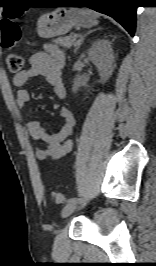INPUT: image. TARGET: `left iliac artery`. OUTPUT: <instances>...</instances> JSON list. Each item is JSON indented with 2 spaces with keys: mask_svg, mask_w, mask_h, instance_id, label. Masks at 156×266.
Listing matches in <instances>:
<instances>
[{
  "mask_svg": "<svg viewBox=\"0 0 156 266\" xmlns=\"http://www.w3.org/2000/svg\"><path fill=\"white\" fill-rule=\"evenodd\" d=\"M80 203V202H84L83 196H80V199H76V198H71L68 200V203Z\"/></svg>",
  "mask_w": 156,
  "mask_h": 266,
  "instance_id": "left-iliac-artery-1",
  "label": "left iliac artery"
}]
</instances>
